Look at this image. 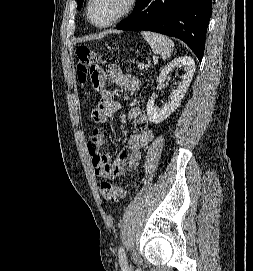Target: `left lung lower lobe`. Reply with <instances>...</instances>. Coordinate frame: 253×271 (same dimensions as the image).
I'll return each mask as SVG.
<instances>
[{
    "label": "left lung lower lobe",
    "mask_w": 253,
    "mask_h": 271,
    "mask_svg": "<svg viewBox=\"0 0 253 271\" xmlns=\"http://www.w3.org/2000/svg\"><path fill=\"white\" fill-rule=\"evenodd\" d=\"M212 0H137L119 30H146L184 41L201 61Z\"/></svg>",
    "instance_id": "left-lung-lower-lobe-1"
}]
</instances>
